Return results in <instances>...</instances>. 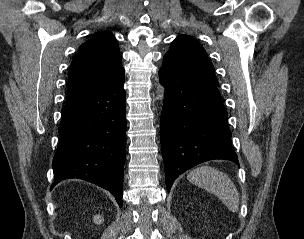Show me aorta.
<instances>
[{"label":"aorta","instance_id":"obj_1","mask_svg":"<svg viewBox=\"0 0 304 239\" xmlns=\"http://www.w3.org/2000/svg\"><path fill=\"white\" fill-rule=\"evenodd\" d=\"M165 88L161 85L157 87V99L163 101Z\"/></svg>","mask_w":304,"mask_h":239}]
</instances>
